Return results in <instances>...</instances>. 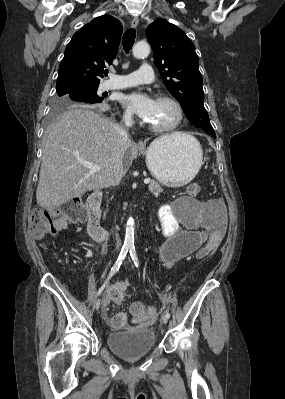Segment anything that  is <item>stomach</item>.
<instances>
[{
	"instance_id": "0dacf381",
	"label": "stomach",
	"mask_w": 285,
	"mask_h": 399,
	"mask_svg": "<svg viewBox=\"0 0 285 399\" xmlns=\"http://www.w3.org/2000/svg\"><path fill=\"white\" fill-rule=\"evenodd\" d=\"M146 165L153 177L169 187L188 184L199 172L203 153L199 142L190 135L178 138H158L147 150Z\"/></svg>"
}]
</instances>
